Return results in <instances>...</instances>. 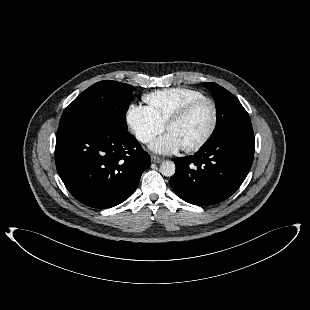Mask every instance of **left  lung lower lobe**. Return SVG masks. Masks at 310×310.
I'll return each instance as SVG.
<instances>
[{"label":"left lung lower lobe","instance_id":"obj_1","mask_svg":"<svg viewBox=\"0 0 310 310\" xmlns=\"http://www.w3.org/2000/svg\"><path fill=\"white\" fill-rule=\"evenodd\" d=\"M253 157L254 133L247 127L204 145L195 155L176 158L170 185L188 203H220L241 186Z\"/></svg>","mask_w":310,"mask_h":310}]
</instances>
